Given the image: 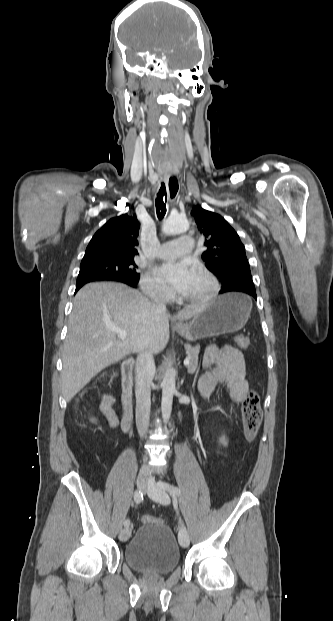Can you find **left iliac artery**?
Wrapping results in <instances>:
<instances>
[{
    "instance_id": "1",
    "label": "left iliac artery",
    "mask_w": 333,
    "mask_h": 621,
    "mask_svg": "<svg viewBox=\"0 0 333 621\" xmlns=\"http://www.w3.org/2000/svg\"><path fill=\"white\" fill-rule=\"evenodd\" d=\"M157 484H158V486L160 488L168 491L173 496H175V495L176 496H180V494H181L180 489L178 487L172 485V484H169L167 482H162V481H159ZM179 522L181 523V519H179Z\"/></svg>"
}]
</instances>
